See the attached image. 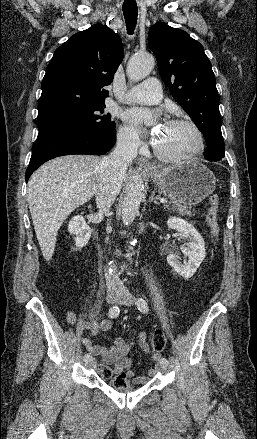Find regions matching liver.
Wrapping results in <instances>:
<instances>
[{
	"mask_svg": "<svg viewBox=\"0 0 257 439\" xmlns=\"http://www.w3.org/2000/svg\"><path fill=\"white\" fill-rule=\"evenodd\" d=\"M101 161L95 156L67 155L45 163L31 176L28 205L46 260L54 254L57 233L64 220L96 193Z\"/></svg>",
	"mask_w": 257,
	"mask_h": 439,
	"instance_id": "obj_1",
	"label": "liver"
}]
</instances>
